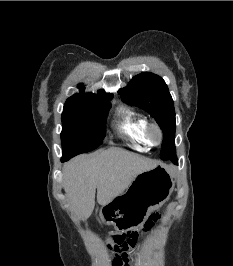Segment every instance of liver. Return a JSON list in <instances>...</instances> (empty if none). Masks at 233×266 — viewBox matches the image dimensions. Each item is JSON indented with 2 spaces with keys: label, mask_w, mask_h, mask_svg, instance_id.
<instances>
[{
  "label": "liver",
  "mask_w": 233,
  "mask_h": 266,
  "mask_svg": "<svg viewBox=\"0 0 233 266\" xmlns=\"http://www.w3.org/2000/svg\"><path fill=\"white\" fill-rule=\"evenodd\" d=\"M158 162L121 148L75 157L63 167V185L75 214L82 220L90 217L97 201L106 206L122 194L144 171Z\"/></svg>",
  "instance_id": "obj_1"
}]
</instances>
